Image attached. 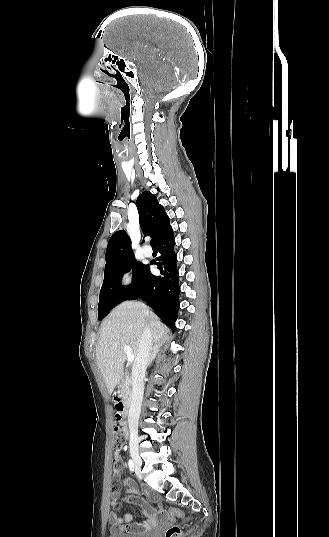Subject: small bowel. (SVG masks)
<instances>
[{"mask_svg":"<svg viewBox=\"0 0 329 537\" xmlns=\"http://www.w3.org/2000/svg\"><path fill=\"white\" fill-rule=\"evenodd\" d=\"M115 422L120 423L123 420L122 415L118 412V409H115ZM126 432L127 429L125 428ZM121 462V456L118 452L114 454L112 474L116 476L118 472V464ZM126 487L127 494L131 499L133 505H138L143 508L142 515L144 517L143 521L132 522V515L127 513L122 517L118 516L115 512H109L108 521L111 524V530L113 532H128V533H140L151 530L155 527L158 520H163L165 518V512L162 509L155 510L149 506L141 497L140 491L132 480H127L124 482ZM119 489L114 487L112 489L110 506L116 507L119 504ZM152 499L156 500L154 496H150Z\"/></svg>","mask_w":329,"mask_h":537,"instance_id":"1","label":"small bowel"}]
</instances>
